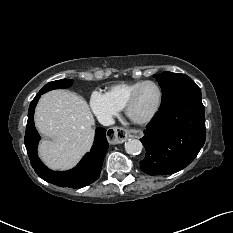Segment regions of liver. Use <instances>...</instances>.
<instances>
[{"mask_svg": "<svg viewBox=\"0 0 233 233\" xmlns=\"http://www.w3.org/2000/svg\"><path fill=\"white\" fill-rule=\"evenodd\" d=\"M38 131L50 140L41 141L42 161L53 170L75 166L94 140V117L83 97L66 90L44 94L35 110Z\"/></svg>", "mask_w": 233, "mask_h": 233, "instance_id": "obj_1", "label": "liver"}]
</instances>
